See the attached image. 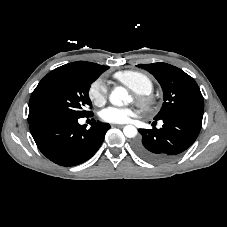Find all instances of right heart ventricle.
Wrapping results in <instances>:
<instances>
[{
  "instance_id": "right-heart-ventricle-1",
  "label": "right heart ventricle",
  "mask_w": 227,
  "mask_h": 227,
  "mask_svg": "<svg viewBox=\"0 0 227 227\" xmlns=\"http://www.w3.org/2000/svg\"><path fill=\"white\" fill-rule=\"evenodd\" d=\"M114 77L126 85L136 94H150L153 90V81L151 78L139 71L126 70L114 74Z\"/></svg>"
}]
</instances>
